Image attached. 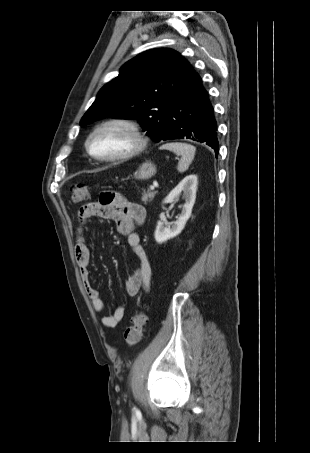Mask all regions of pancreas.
<instances>
[{"label": "pancreas", "instance_id": "1", "mask_svg": "<svg viewBox=\"0 0 310 453\" xmlns=\"http://www.w3.org/2000/svg\"><path fill=\"white\" fill-rule=\"evenodd\" d=\"M155 194H156V192H150V191L145 192L144 191L142 193V197H141L142 202L145 205H147L149 202H151L154 199Z\"/></svg>", "mask_w": 310, "mask_h": 453}]
</instances>
